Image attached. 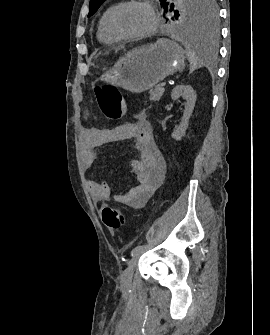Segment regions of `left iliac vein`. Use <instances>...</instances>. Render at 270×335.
Segmentation results:
<instances>
[{"instance_id":"obj_1","label":"left iliac vein","mask_w":270,"mask_h":335,"mask_svg":"<svg viewBox=\"0 0 270 335\" xmlns=\"http://www.w3.org/2000/svg\"><path fill=\"white\" fill-rule=\"evenodd\" d=\"M141 254L142 252H138L134 254L131 260L129 261L127 268L122 273L120 282L123 287H127L130 285L132 281L134 269L139 261Z\"/></svg>"}]
</instances>
